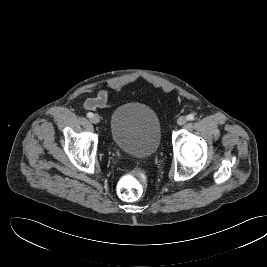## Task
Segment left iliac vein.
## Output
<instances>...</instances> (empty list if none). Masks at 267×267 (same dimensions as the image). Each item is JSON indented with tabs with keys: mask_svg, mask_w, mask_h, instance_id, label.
Wrapping results in <instances>:
<instances>
[{
	"mask_svg": "<svg viewBox=\"0 0 267 267\" xmlns=\"http://www.w3.org/2000/svg\"><path fill=\"white\" fill-rule=\"evenodd\" d=\"M186 122H187V117H185V116H181L177 119L178 125H184V124H186Z\"/></svg>",
	"mask_w": 267,
	"mask_h": 267,
	"instance_id": "left-iliac-vein-1",
	"label": "left iliac vein"
}]
</instances>
